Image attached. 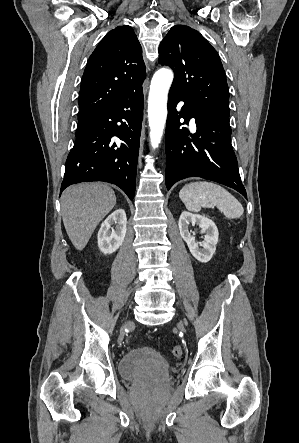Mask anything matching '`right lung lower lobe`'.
<instances>
[{"label":"right lung lower lobe","instance_id":"obj_1","mask_svg":"<svg viewBox=\"0 0 299 443\" xmlns=\"http://www.w3.org/2000/svg\"><path fill=\"white\" fill-rule=\"evenodd\" d=\"M143 119V89L122 98L85 121L65 165L60 191L80 182L104 181L132 200Z\"/></svg>","mask_w":299,"mask_h":443}]
</instances>
